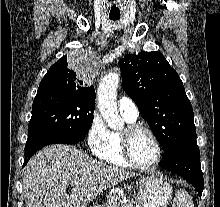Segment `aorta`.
Wrapping results in <instances>:
<instances>
[{
	"mask_svg": "<svg viewBox=\"0 0 220 207\" xmlns=\"http://www.w3.org/2000/svg\"><path fill=\"white\" fill-rule=\"evenodd\" d=\"M120 74L110 72L106 74L98 87V108L101 116L111 129L118 130L123 127V121L117 108V89Z\"/></svg>",
	"mask_w": 220,
	"mask_h": 207,
	"instance_id": "obj_1",
	"label": "aorta"
}]
</instances>
